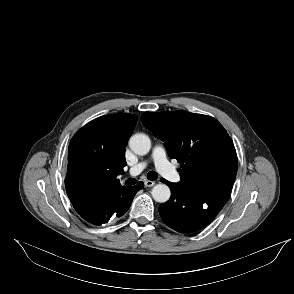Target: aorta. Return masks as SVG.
Returning a JSON list of instances; mask_svg holds the SVG:
<instances>
[{"mask_svg": "<svg viewBox=\"0 0 294 294\" xmlns=\"http://www.w3.org/2000/svg\"><path fill=\"white\" fill-rule=\"evenodd\" d=\"M130 149L137 155H146L151 148V141L145 134H135L129 140ZM152 197L156 202L164 203L169 200L171 192L167 185L160 183L152 188Z\"/></svg>", "mask_w": 294, "mask_h": 294, "instance_id": "aorta-1", "label": "aorta"}]
</instances>
